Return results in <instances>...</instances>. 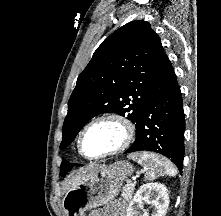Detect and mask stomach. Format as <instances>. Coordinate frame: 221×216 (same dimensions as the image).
<instances>
[{
	"label": "stomach",
	"instance_id": "1",
	"mask_svg": "<svg viewBox=\"0 0 221 216\" xmlns=\"http://www.w3.org/2000/svg\"><path fill=\"white\" fill-rule=\"evenodd\" d=\"M133 171L126 161L96 167L66 193L62 202L66 216H85L86 211L112 201Z\"/></svg>",
	"mask_w": 221,
	"mask_h": 216
}]
</instances>
